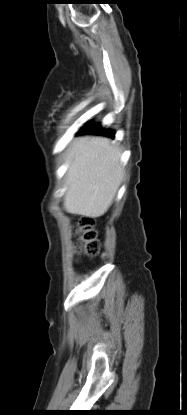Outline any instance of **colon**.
<instances>
[{
    "instance_id": "1",
    "label": "colon",
    "mask_w": 187,
    "mask_h": 415,
    "mask_svg": "<svg viewBox=\"0 0 187 415\" xmlns=\"http://www.w3.org/2000/svg\"><path fill=\"white\" fill-rule=\"evenodd\" d=\"M79 240L81 250L87 255H96L100 250V243L97 233L94 229V221L92 218H83L78 226Z\"/></svg>"
}]
</instances>
